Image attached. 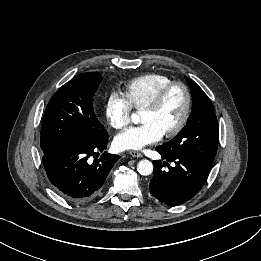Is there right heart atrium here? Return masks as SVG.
Listing matches in <instances>:
<instances>
[{"instance_id":"1","label":"right heart atrium","mask_w":261,"mask_h":261,"mask_svg":"<svg viewBox=\"0 0 261 261\" xmlns=\"http://www.w3.org/2000/svg\"><path fill=\"white\" fill-rule=\"evenodd\" d=\"M132 106L125 96L119 93L109 95L105 105V115L115 129L125 128L131 120Z\"/></svg>"}]
</instances>
